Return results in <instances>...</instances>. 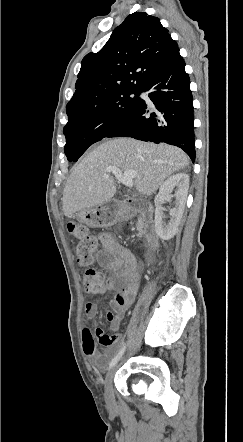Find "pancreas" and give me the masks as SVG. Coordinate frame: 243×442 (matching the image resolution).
<instances>
[{
    "label": "pancreas",
    "instance_id": "obj_1",
    "mask_svg": "<svg viewBox=\"0 0 243 442\" xmlns=\"http://www.w3.org/2000/svg\"><path fill=\"white\" fill-rule=\"evenodd\" d=\"M137 230L139 231L138 236H141V227H140V224H137Z\"/></svg>",
    "mask_w": 243,
    "mask_h": 442
}]
</instances>
